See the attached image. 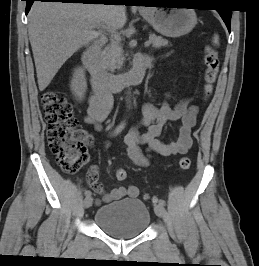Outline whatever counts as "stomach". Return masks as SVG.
Instances as JSON below:
<instances>
[{
    "label": "stomach",
    "mask_w": 259,
    "mask_h": 266,
    "mask_svg": "<svg viewBox=\"0 0 259 266\" xmlns=\"http://www.w3.org/2000/svg\"><path fill=\"white\" fill-rule=\"evenodd\" d=\"M180 5V3H169ZM153 7L141 12L152 27L166 37H179L188 34L197 24V16L193 9Z\"/></svg>",
    "instance_id": "obj_1"
}]
</instances>
